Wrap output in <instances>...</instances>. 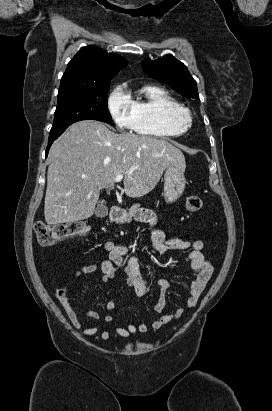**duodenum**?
Wrapping results in <instances>:
<instances>
[{"mask_svg":"<svg viewBox=\"0 0 272 411\" xmlns=\"http://www.w3.org/2000/svg\"><path fill=\"white\" fill-rule=\"evenodd\" d=\"M123 208L120 206H113L109 210V216L111 219L115 220L117 219L120 215L123 214Z\"/></svg>","mask_w":272,"mask_h":411,"instance_id":"410a0bca","label":"duodenum"}]
</instances>
